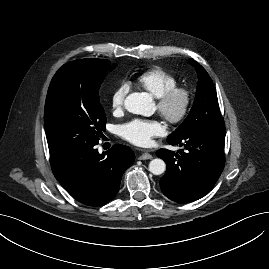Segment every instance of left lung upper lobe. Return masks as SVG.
<instances>
[{
	"instance_id": "obj_1",
	"label": "left lung upper lobe",
	"mask_w": 269,
	"mask_h": 269,
	"mask_svg": "<svg viewBox=\"0 0 269 269\" xmlns=\"http://www.w3.org/2000/svg\"><path fill=\"white\" fill-rule=\"evenodd\" d=\"M198 74L196 97L192 109L184 122L168 136L175 140L197 128H220L225 126L220 113L214 84L206 70L190 59Z\"/></svg>"
}]
</instances>
